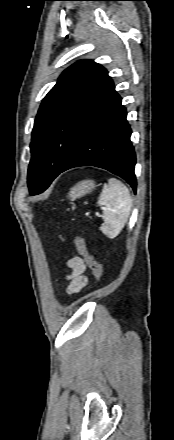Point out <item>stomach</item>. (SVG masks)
Returning <instances> with one entry per match:
<instances>
[{
	"label": "stomach",
	"mask_w": 174,
	"mask_h": 440,
	"mask_svg": "<svg viewBox=\"0 0 174 440\" xmlns=\"http://www.w3.org/2000/svg\"><path fill=\"white\" fill-rule=\"evenodd\" d=\"M96 187V183L92 179H86L74 185L69 192V198L74 201L88 193Z\"/></svg>",
	"instance_id": "stomach-1"
}]
</instances>
